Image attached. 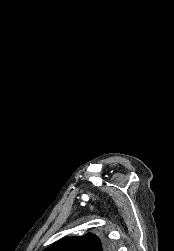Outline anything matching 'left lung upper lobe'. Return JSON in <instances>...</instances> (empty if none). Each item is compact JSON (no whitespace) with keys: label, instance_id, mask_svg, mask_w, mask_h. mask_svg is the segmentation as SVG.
<instances>
[{"label":"left lung upper lobe","instance_id":"left-lung-upper-lobe-1","mask_svg":"<svg viewBox=\"0 0 174 251\" xmlns=\"http://www.w3.org/2000/svg\"><path fill=\"white\" fill-rule=\"evenodd\" d=\"M108 241L101 237L88 233L83 236H72L63 238L44 251H108Z\"/></svg>","mask_w":174,"mask_h":251}]
</instances>
